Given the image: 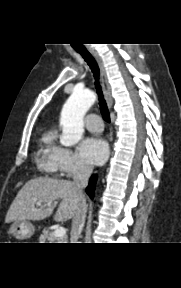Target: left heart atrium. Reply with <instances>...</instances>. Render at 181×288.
<instances>
[{
    "label": "left heart atrium",
    "instance_id": "1",
    "mask_svg": "<svg viewBox=\"0 0 181 288\" xmlns=\"http://www.w3.org/2000/svg\"><path fill=\"white\" fill-rule=\"evenodd\" d=\"M80 156L90 164H101L108 155L107 143L96 136L85 138L78 148Z\"/></svg>",
    "mask_w": 181,
    "mask_h": 288
}]
</instances>
